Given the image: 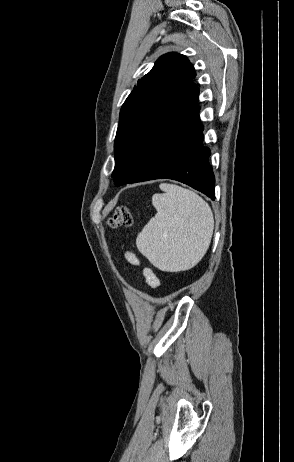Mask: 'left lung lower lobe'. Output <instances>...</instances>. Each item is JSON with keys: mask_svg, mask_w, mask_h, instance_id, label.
Instances as JSON below:
<instances>
[{"mask_svg": "<svg viewBox=\"0 0 294 462\" xmlns=\"http://www.w3.org/2000/svg\"><path fill=\"white\" fill-rule=\"evenodd\" d=\"M198 95L192 83L173 102L154 109L114 177L116 186L168 178L215 199L211 153L202 146Z\"/></svg>", "mask_w": 294, "mask_h": 462, "instance_id": "0a47b994", "label": "left lung lower lobe"}]
</instances>
